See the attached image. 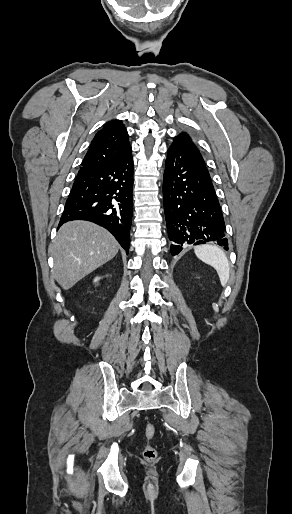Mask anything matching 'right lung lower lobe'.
Returning <instances> with one entry per match:
<instances>
[{
  "label": "right lung lower lobe",
  "mask_w": 292,
  "mask_h": 514,
  "mask_svg": "<svg viewBox=\"0 0 292 514\" xmlns=\"http://www.w3.org/2000/svg\"><path fill=\"white\" fill-rule=\"evenodd\" d=\"M133 158L103 166L81 167L66 201L59 226L86 220L110 231L128 252L133 213Z\"/></svg>",
  "instance_id": "right-lung-lower-lobe-1"
}]
</instances>
